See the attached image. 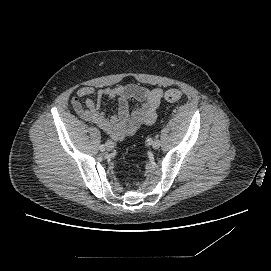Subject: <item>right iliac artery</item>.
Returning <instances> with one entry per match:
<instances>
[{"label": "right iliac artery", "instance_id": "obj_1", "mask_svg": "<svg viewBox=\"0 0 271 271\" xmlns=\"http://www.w3.org/2000/svg\"><path fill=\"white\" fill-rule=\"evenodd\" d=\"M99 149H100V151L103 152V151L105 150V146H104V145H100V146H99Z\"/></svg>", "mask_w": 271, "mask_h": 271}]
</instances>
